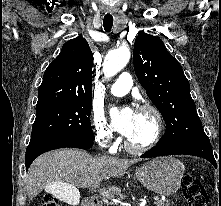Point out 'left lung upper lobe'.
I'll return each mask as SVG.
<instances>
[{
    "mask_svg": "<svg viewBox=\"0 0 221 206\" xmlns=\"http://www.w3.org/2000/svg\"><path fill=\"white\" fill-rule=\"evenodd\" d=\"M134 69L166 123L165 134L157 144L210 142L198 117L183 69L161 39L145 33L137 36Z\"/></svg>",
    "mask_w": 221,
    "mask_h": 206,
    "instance_id": "5c2ea615",
    "label": "left lung upper lobe"
}]
</instances>
